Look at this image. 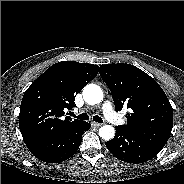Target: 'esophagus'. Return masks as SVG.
Instances as JSON below:
<instances>
[{"label":"esophagus","instance_id":"esophagus-1","mask_svg":"<svg viewBox=\"0 0 184 184\" xmlns=\"http://www.w3.org/2000/svg\"><path fill=\"white\" fill-rule=\"evenodd\" d=\"M92 125L95 127H101L102 123L92 122Z\"/></svg>","mask_w":184,"mask_h":184}]
</instances>
